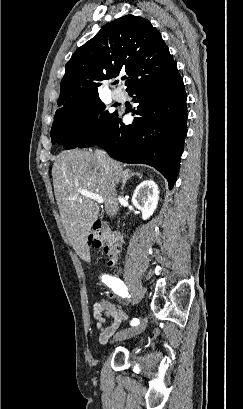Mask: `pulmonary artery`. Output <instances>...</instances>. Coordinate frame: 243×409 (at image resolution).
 I'll return each instance as SVG.
<instances>
[{"mask_svg": "<svg viewBox=\"0 0 243 409\" xmlns=\"http://www.w3.org/2000/svg\"><path fill=\"white\" fill-rule=\"evenodd\" d=\"M112 95L114 97V99L118 100V101H123L126 98V94L123 90L117 88L114 89L112 92Z\"/></svg>", "mask_w": 243, "mask_h": 409, "instance_id": "obj_1", "label": "pulmonary artery"}]
</instances>
